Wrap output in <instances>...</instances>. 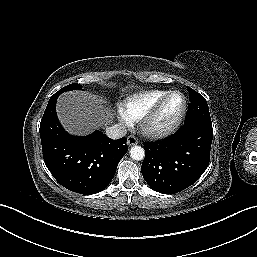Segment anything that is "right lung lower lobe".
Listing matches in <instances>:
<instances>
[{"instance_id": "right-lung-lower-lobe-1", "label": "right lung lower lobe", "mask_w": 257, "mask_h": 257, "mask_svg": "<svg viewBox=\"0 0 257 257\" xmlns=\"http://www.w3.org/2000/svg\"><path fill=\"white\" fill-rule=\"evenodd\" d=\"M56 92L40 123L44 162L65 188L81 194L102 191L113 179L117 165L128 151L126 138L109 139L100 131L85 137L71 136L56 114Z\"/></svg>"}]
</instances>
